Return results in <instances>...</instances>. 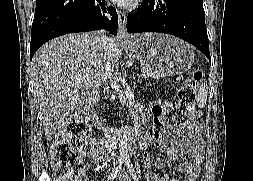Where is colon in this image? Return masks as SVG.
<instances>
[{
    "instance_id": "5ec220e1",
    "label": "colon",
    "mask_w": 253,
    "mask_h": 181,
    "mask_svg": "<svg viewBox=\"0 0 253 181\" xmlns=\"http://www.w3.org/2000/svg\"><path fill=\"white\" fill-rule=\"evenodd\" d=\"M202 72L198 67L191 80L179 90L173 110V122L181 130L196 124L193 106ZM89 137V128L80 116L68 118L51 146V160L55 181H81L84 173L83 153Z\"/></svg>"
}]
</instances>
